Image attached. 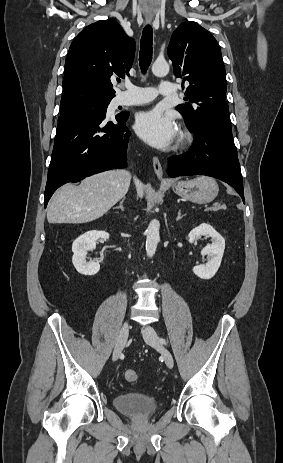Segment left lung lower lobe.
<instances>
[{"instance_id": "obj_1", "label": "left lung lower lobe", "mask_w": 283, "mask_h": 463, "mask_svg": "<svg viewBox=\"0 0 283 463\" xmlns=\"http://www.w3.org/2000/svg\"><path fill=\"white\" fill-rule=\"evenodd\" d=\"M196 135L192 151L169 159L170 177L207 175L231 185L244 201L243 182L233 137L213 130H191Z\"/></svg>"}]
</instances>
